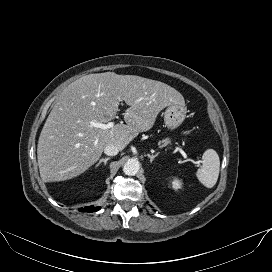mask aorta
Segmentation results:
<instances>
[{"mask_svg": "<svg viewBox=\"0 0 272 272\" xmlns=\"http://www.w3.org/2000/svg\"><path fill=\"white\" fill-rule=\"evenodd\" d=\"M140 169V163L137 159H129L123 166V172L128 176H134Z\"/></svg>", "mask_w": 272, "mask_h": 272, "instance_id": "762f6f07", "label": "aorta"}]
</instances>
